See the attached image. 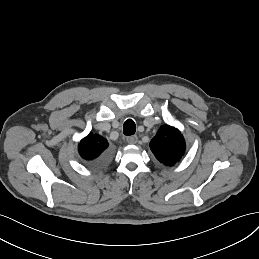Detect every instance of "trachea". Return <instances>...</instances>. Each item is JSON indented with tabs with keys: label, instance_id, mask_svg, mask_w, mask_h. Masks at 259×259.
<instances>
[{
	"label": "trachea",
	"instance_id": "3493384b",
	"mask_svg": "<svg viewBox=\"0 0 259 259\" xmlns=\"http://www.w3.org/2000/svg\"><path fill=\"white\" fill-rule=\"evenodd\" d=\"M136 131L135 123L132 119H128L123 126V133L125 135H133Z\"/></svg>",
	"mask_w": 259,
	"mask_h": 259
}]
</instances>
